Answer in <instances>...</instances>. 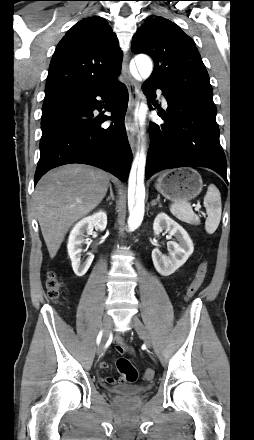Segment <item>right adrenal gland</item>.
Here are the masks:
<instances>
[{
    "label": "right adrenal gland",
    "mask_w": 254,
    "mask_h": 440,
    "mask_svg": "<svg viewBox=\"0 0 254 440\" xmlns=\"http://www.w3.org/2000/svg\"><path fill=\"white\" fill-rule=\"evenodd\" d=\"M109 189H110V195L106 198V201H109V200H114V194H113V190H112V185L111 184H109ZM110 205H111V203H109Z\"/></svg>",
    "instance_id": "right-adrenal-gland-1"
}]
</instances>
